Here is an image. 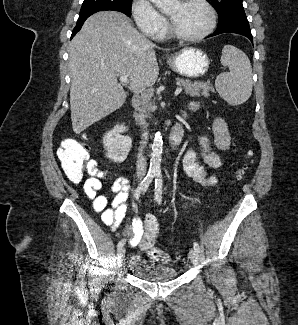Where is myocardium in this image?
I'll return each mask as SVG.
<instances>
[{"mask_svg":"<svg viewBox=\"0 0 298 325\" xmlns=\"http://www.w3.org/2000/svg\"><path fill=\"white\" fill-rule=\"evenodd\" d=\"M178 1H184V0H178ZM192 1H194L199 6H201L207 15V24L204 27V29L202 31H200L199 33H197L195 35H191V36H186V35L180 34L173 28V26L171 24L170 17L166 13L167 17H168L167 37L178 40V41H182V42H196V41L202 40L208 34L211 33V31L213 30V27H214V15H213L211 7L203 0H192Z\"/></svg>","mask_w":298,"mask_h":325,"instance_id":"myocardium-1","label":"myocardium"}]
</instances>
